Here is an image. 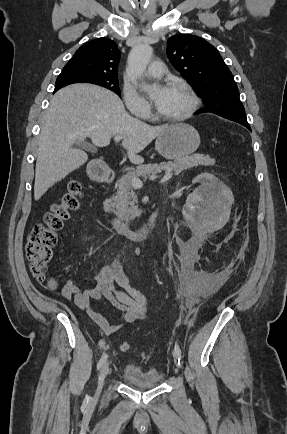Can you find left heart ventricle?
Instances as JSON below:
<instances>
[{"label": "left heart ventricle", "mask_w": 287, "mask_h": 434, "mask_svg": "<svg viewBox=\"0 0 287 434\" xmlns=\"http://www.w3.org/2000/svg\"><path fill=\"white\" fill-rule=\"evenodd\" d=\"M169 94L163 106L158 111L165 116H177L186 111L189 106V97L177 87H169Z\"/></svg>", "instance_id": "left-heart-ventricle-1"}]
</instances>
